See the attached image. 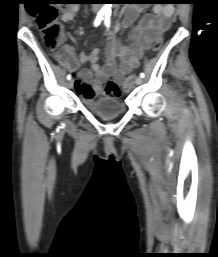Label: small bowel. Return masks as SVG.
Wrapping results in <instances>:
<instances>
[{
    "instance_id": "small-bowel-1",
    "label": "small bowel",
    "mask_w": 218,
    "mask_h": 257,
    "mask_svg": "<svg viewBox=\"0 0 218 257\" xmlns=\"http://www.w3.org/2000/svg\"><path fill=\"white\" fill-rule=\"evenodd\" d=\"M78 10L76 5L63 7L62 21L74 20ZM142 10L141 5L130 6L123 16L121 29L124 30L133 25ZM173 12L171 5H159L154 8V13L144 14L130 34L131 45L129 47L111 38L106 47V62L102 66L98 64V50L86 55L84 52L76 53L66 48L65 50L72 54L71 66L75 75L76 92L85 99L95 98L101 95V89H104L103 84L111 77L118 82V85H123L126 76L138 67L144 51L155 41L161 39L170 28ZM64 51L61 52L63 56ZM117 58L120 60L119 65L116 63ZM86 62L90 63V68L80 70L79 66ZM123 90V98H126V89Z\"/></svg>"
}]
</instances>
